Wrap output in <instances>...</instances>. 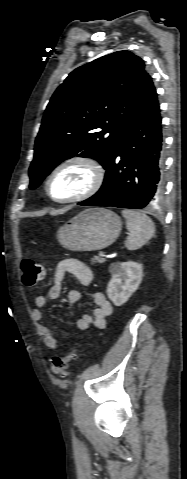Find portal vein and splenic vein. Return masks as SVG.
I'll list each match as a JSON object with an SVG mask.
<instances>
[{
    "mask_svg": "<svg viewBox=\"0 0 187 479\" xmlns=\"http://www.w3.org/2000/svg\"><path fill=\"white\" fill-rule=\"evenodd\" d=\"M99 256H100V257H104V256H105V253H104L103 251H100V252H99Z\"/></svg>",
    "mask_w": 187,
    "mask_h": 479,
    "instance_id": "1",
    "label": "portal vein and splenic vein"
}]
</instances>
